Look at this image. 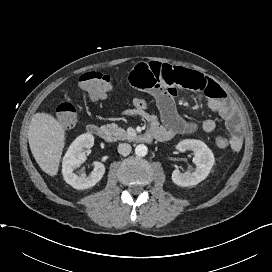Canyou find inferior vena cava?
Wrapping results in <instances>:
<instances>
[{
  "instance_id": "obj_1",
  "label": "inferior vena cava",
  "mask_w": 272,
  "mask_h": 272,
  "mask_svg": "<svg viewBox=\"0 0 272 272\" xmlns=\"http://www.w3.org/2000/svg\"><path fill=\"white\" fill-rule=\"evenodd\" d=\"M131 150H132V147L130 144L121 143L118 145V152L123 156L129 155Z\"/></svg>"
}]
</instances>
